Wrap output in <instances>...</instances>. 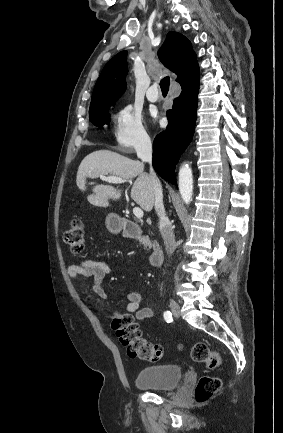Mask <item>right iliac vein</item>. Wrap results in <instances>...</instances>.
I'll list each match as a JSON object with an SVG mask.
<instances>
[{"instance_id": "1", "label": "right iliac vein", "mask_w": 283, "mask_h": 433, "mask_svg": "<svg viewBox=\"0 0 283 433\" xmlns=\"http://www.w3.org/2000/svg\"><path fill=\"white\" fill-rule=\"evenodd\" d=\"M169 304H170V308H171V311H172L174 317L179 318L180 307H179L178 303L176 301H174L173 299H170Z\"/></svg>"}]
</instances>
